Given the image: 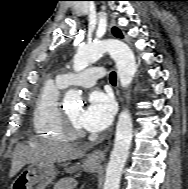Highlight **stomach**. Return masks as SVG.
I'll return each instance as SVG.
<instances>
[{
    "label": "stomach",
    "instance_id": "1",
    "mask_svg": "<svg viewBox=\"0 0 188 189\" xmlns=\"http://www.w3.org/2000/svg\"><path fill=\"white\" fill-rule=\"evenodd\" d=\"M67 172H73L77 167L67 168ZM85 171L95 172L99 164L90 160H85L81 166ZM57 175V169L54 164L36 162L25 168L13 181L12 189H45Z\"/></svg>",
    "mask_w": 188,
    "mask_h": 189
}]
</instances>
